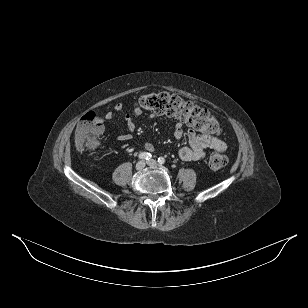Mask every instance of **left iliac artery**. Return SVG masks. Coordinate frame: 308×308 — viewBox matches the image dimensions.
<instances>
[{
	"label": "left iliac artery",
	"instance_id": "obj_1",
	"mask_svg": "<svg viewBox=\"0 0 308 308\" xmlns=\"http://www.w3.org/2000/svg\"><path fill=\"white\" fill-rule=\"evenodd\" d=\"M158 162H159V164H164L165 163V159L163 158V157H159L158 158Z\"/></svg>",
	"mask_w": 308,
	"mask_h": 308
}]
</instances>
